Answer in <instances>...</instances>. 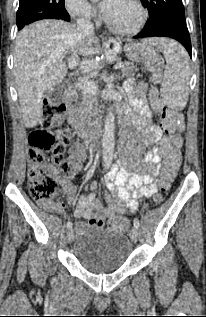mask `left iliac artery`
Returning a JSON list of instances; mask_svg holds the SVG:
<instances>
[{
	"mask_svg": "<svg viewBox=\"0 0 206 317\" xmlns=\"http://www.w3.org/2000/svg\"><path fill=\"white\" fill-rule=\"evenodd\" d=\"M133 223H134V227H135V228L138 229V228L140 227V223H139V220H138L137 218L134 219V222H133Z\"/></svg>",
	"mask_w": 206,
	"mask_h": 317,
	"instance_id": "1",
	"label": "left iliac artery"
}]
</instances>
